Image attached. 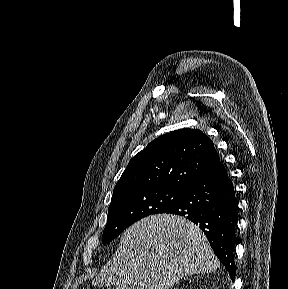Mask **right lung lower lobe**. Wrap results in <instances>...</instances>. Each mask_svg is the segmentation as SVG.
Returning <instances> with one entry per match:
<instances>
[{
	"mask_svg": "<svg viewBox=\"0 0 288 289\" xmlns=\"http://www.w3.org/2000/svg\"><path fill=\"white\" fill-rule=\"evenodd\" d=\"M165 213L185 216L199 224L214 253L234 279L237 205L233 183L221 162L190 184Z\"/></svg>",
	"mask_w": 288,
	"mask_h": 289,
	"instance_id": "98d812e1",
	"label": "right lung lower lobe"
}]
</instances>
